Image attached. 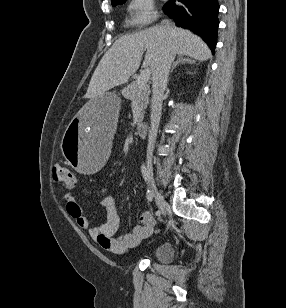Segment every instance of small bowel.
Wrapping results in <instances>:
<instances>
[{
	"label": "small bowel",
	"mask_w": 286,
	"mask_h": 308,
	"mask_svg": "<svg viewBox=\"0 0 286 308\" xmlns=\"http://www.w3.org/2000/svg\"><path fill=\"white\" fill-rule=\"evenodd\" d=\"M66 211L74 219L77 226L86 230L92 240L97 242L103 249L115 254H123L137 246L143 239L148 238L154 230L155 219L149 212H144L140 216V224L135 226L130 232L116 236L120 226L115 199L105 197L99 206L106 212L104 223L96 227L90 226V220L85 215L81 203L72 195L64 196Z\"/></svg>",
	"instance_id": "obj_1"
}]
</instances>
